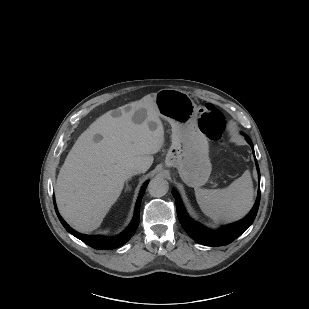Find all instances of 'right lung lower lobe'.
<instances>
[{
  "mask_svg": "<svg viewBox=\"0 0 309 309\" xmlns=\"http://www.w3.org/2000/svg\"><path fill=\"white\" fill-rule=\"evenodd\" d=\"M147 183L148 182H146L143 185L141 192H140V195L137 199L136 206H135L134 218H133L132 222L120 235H118L116 237L108 238V237H104V236H89V235H83V234H80V233L74 231L72 228H70L67 225V223L60 216V214L57 210V207H56L55 198L53 196L55 211H56V214H57L60 222L65 227V229L69 233H71L73 236H75L76 238L80 239L81 241H83L84 243H86L87 245H89V246H91L95 249H104V250L114 249V248H117V247L123 245L124 243H126L132 237V235L135 233V231L138 227V224H139V220H140V204H141V200H142V197L144 195Z\"/></svg>",
  "mask_w": 309,
  "mask_h": 309,
  "instance_id": "98d812e1",
  "label": "right lung lower lobe"
}]
</instances>
